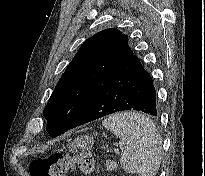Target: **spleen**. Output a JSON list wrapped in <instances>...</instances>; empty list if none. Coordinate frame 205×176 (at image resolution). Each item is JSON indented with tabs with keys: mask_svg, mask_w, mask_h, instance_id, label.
I'll return each mask as SVG.
<instances>
[{
	"mask_svg": "<svg viewBox=\"0 0 205 176\" xmlns=\"http://www.w3.org/2000/svg\"><path fill=\"white\" fill-rule=\"evenodd\" d=\"M102 125L116 135L121 167L139 176H155L161 164L162 140L154 122L138 112L109 116Z\"/></svg>",
	"mask_w": 205,
	"mask_h": 176,
	"instance_id": "obj_1",
	"label": "spleen"
}]
</instances>
